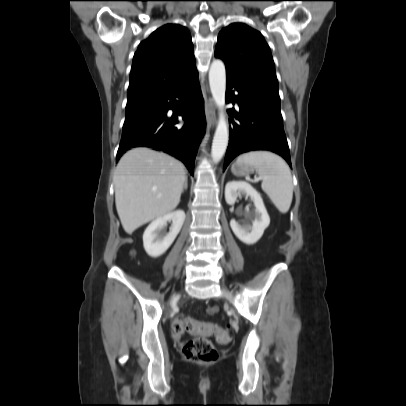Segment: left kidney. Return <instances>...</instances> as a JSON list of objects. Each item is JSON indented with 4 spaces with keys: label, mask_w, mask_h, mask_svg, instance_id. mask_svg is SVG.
<instances>
[{
    "label": "left kidney",
    "mask_w": 406,
    "mask_h": 406,
    "mask_svg": "<svg viewBox=\"0 0 406 406\" xmlns=\"http://www.w3.org/2000/svg\"><path fill=\"white\" fill-rule=\"evenodd\" d=\"M249 196L254 204V211L248 213L252 224L241 226L234 219L230 226L236 237L245 244L256 243L270 224V217L264 206L261 195L247 182L231 181L225 186V200L227 204L234 205L238 197Z\"/></svg>",
    "instance_id": "obj_1"
}]
</instances>
